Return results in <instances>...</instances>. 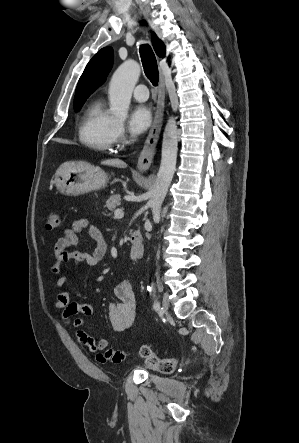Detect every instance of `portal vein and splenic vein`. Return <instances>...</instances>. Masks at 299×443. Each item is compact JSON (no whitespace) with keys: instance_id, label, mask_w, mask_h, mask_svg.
Returning <instances> with one entry per match:
<instances>
[{"instance_id":"obj_1","label":"portal vein and splenic vein","mask_w":299,"mask_h":443,"mask_svg":"<svg viewBox=\"0 0 299 443\" xmlns=\"http://www.w3.org/2000/svg\"><path fill=\"white\" fill-rule=\"evenodd\" d=\"M114 216L115 218L120 219L124 216V211L122 209H117L114 212Z\"/></svg>"}]
</instances>
